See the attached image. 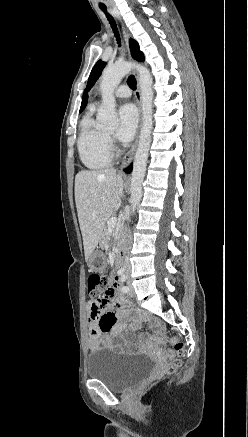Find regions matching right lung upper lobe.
<instances>
[{
  "label": "right lung upper lobe",
  "instance_id": "obj_1",
  "mask_svg": "<svg viewBox=\"0 0 248 437\" xmlns=\"http://www.w3.org/2000/svg\"><path fill=\"white\" fill-rule=\"evenodd\" d=\"M86 103H87V95H85V96L83 97L82 105H81V108H80V112L83 111V109H84L85 106H86Z\"/></svg>",
  "mask_w": 248,
  "mask_h": 437
}]
</instances>
